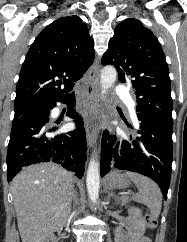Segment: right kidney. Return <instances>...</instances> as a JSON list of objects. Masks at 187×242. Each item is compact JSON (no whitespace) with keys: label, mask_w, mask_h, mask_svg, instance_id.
<instances>
[{"label":"right kidney","mask_w":187,"mask_h":242,"mask_svg":"<svg viewBox=\"0 0 187 242\" xmlns=\"http://www.w3.org/2000/svg\"><path fill=\"white\" fill-rule=\"evenodd\" d=\"M42 242H55V236L54 234L47 235Z\"/></svg>","instance_id":"right-kidney-1"}]
</instances>
